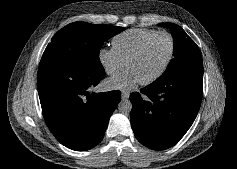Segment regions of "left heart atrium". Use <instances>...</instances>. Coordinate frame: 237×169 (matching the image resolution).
Masks as SVG:
<instances>
[{
    "mask_svg": "<svg viewBox=\"0 0 237 169\" xmlns=\"http://www.w3.org/2000/svg\"><path fill=\"white\" fill-rule=\"evenodd\" d=\"M139 82L138 77L132 70H128L122 75L109 80L108 84L112 88H130Z\"/></svg>",
    "mask_w": 237,
    "mask_h": 169,
    "instance_id": "1",
    "label": "left heart atrium"
}]
</instances>
